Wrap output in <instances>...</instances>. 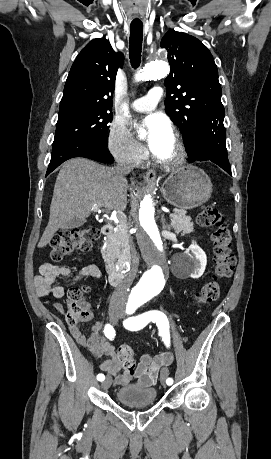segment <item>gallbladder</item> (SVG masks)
I'll return each mask as SVG.
<instances>
[{
  "mask_svg": "<svg viewBox=\"0 0 271 459\" xmlns=\"http://www.w3.org/2000/svg\"><path fill=\"white\" fill-rule=\"evenodd\" d=\"M83 224H85V220H80V218H73V220H70V222H67V224H64V226H61V229L79 228V226H83Z\"/></svg>",
  "mask_w": 271,
  "mask_h": 459,
  "instance_id": "bac80fb5",
  "label": "gallbladder"
}]
</instances>
